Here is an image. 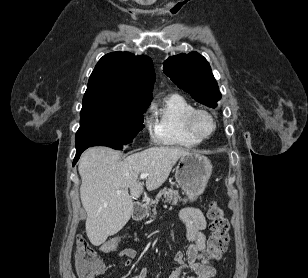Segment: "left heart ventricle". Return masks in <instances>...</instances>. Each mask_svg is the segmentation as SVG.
<instances>
[{
	"instance_id": "b2bd125f",
	"label": "left heart ventricle",
	"mask_w": 308,
	"mask_h": 278,
	"mask_svg": "<svg viewBox=\"0 0 308 278\" xmlns=\"http://www.w3.org/2000/svg\"><path fill=\"white\" fill-rule=\"evenodd\" d=\"M194 126L196 131L201 134L205 135L208 134L212 130V122L210 119L205 115H198L194 120Z\"/></svg>"
}]
</instances>
